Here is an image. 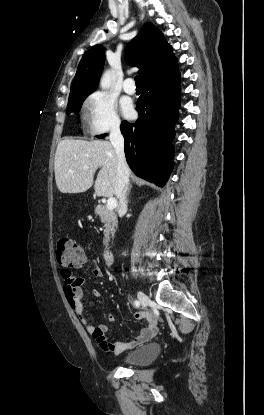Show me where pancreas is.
I'll use <instances>...</instances> for the list:
<instances>
[{
  "label": "pancreas",
  "mask_w": 264,
  "mask_h": 415,
  "mask_svg": "<svg viewBox=\"0 0 264 415\" xmlns=\"http://www.w3.org/2000/svg\"><path fill=\"white\" fill-rule=\"evenodd\" d=\"M95 214L99 216L102 223H104V240L103 244L108 246L110 238L115 234V229L117 228V218L116 213L113 210H108L103 205H98L95 208Z\"/></svg>",
  "instance_id": "pancreas-1"
}]
</instances>
